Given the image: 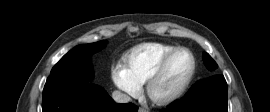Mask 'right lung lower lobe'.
<instances>
[{
    "instance_id": "right-lung-lower-lobe-1",
    "label": "right lung lower lobe",
    "mask_w": 270,
    "mask_h": 112,
    "mask_svg": "<svg viewBox=\"0 0 270 112\" xmlns=\"http://www.w3.org/2000/svg\"><path fill=\"white\" fill-rule=\"evenodd\" d=\"M132 103L117 104L107 92L89 82H48L43 90L42 112H137Z\"/></svg>"
}]
</instances>
